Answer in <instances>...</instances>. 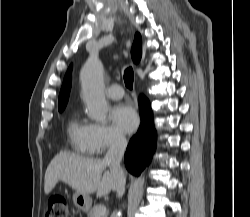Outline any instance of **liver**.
<instances>
[{"label": "liver", "mask_w": 250, "mask_h": 217, "mask_svg": "<svg viewBox=\"0 0 250 217\" xmlns=\"http://www.w3.org/2000/svg\"><path fill=\"white\" fill-rule=\"evenodd\" d=\"M106 168L107 164L103 160L60 152L47 167L44 192L49 194L62 181L78 193L96 192L97 197L107 196L116 190L117 180Z\"/></svg>", "instance_id": "1"}]
</instances>
